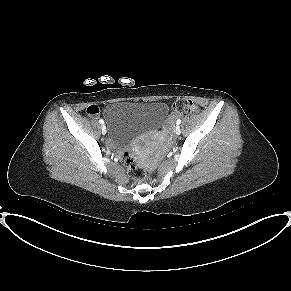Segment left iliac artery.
<instances>
[{"label": "left iliac artery", "mask_w": 291, "mask_h": 291, "mask_svg": "<svg viewBox=\"0 0 291 291\" xmlns=\"http://www.w3.org/2000/svg\"><path fill=\"white\" fill-rule=\"evenodd\" d=\"M180 123H181V120L178 119V120L176 121V124L179 125Z\"/></svg>", "instance_id": "1"}]
</instances>
